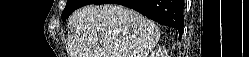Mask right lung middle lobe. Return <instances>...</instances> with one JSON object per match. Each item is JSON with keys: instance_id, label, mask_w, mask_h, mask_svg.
Instances as JSON below:
<instances>
[{"instance_id": "1", "label": "right lung middle lobe", "mask_w": 249, "mask_h": 57, "mask_svg": "<svg viewBox=\"0 0 249 57\" xmlns=\"http://www.w3.org/2000/svg\"><path fill=\"white\" fill-rule=\"evenodd\" d=\"M91 1L92 0H67V4L61 15V19L65 21L74 10L90 4Z\"/></svg>"}]
</instances>
